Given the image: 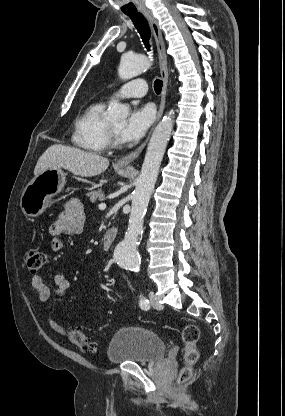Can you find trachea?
<instances>
[{
  "instance_id": "trachea-1",
  "label": "trachea",
  "mask_w": 285,
  "mask_h": 416,
  "mask_svg": "<svg viewBox=\"0 0 285 416\" xmlns=\"http://www.w3.org/2000/svg\"><path fill=\"white\" fill-rule=\"evenodd\" d=\"M128 15V17L131 18L133 24L135 25V27L137 28L142 41L144 43V45L146 46V49H148V51H150V36H151V30L150 27L148 25V22L146 20V18L143 17L142 13H128L126 14ZM163 87V82L159 79L155 80L154 82V90L155 92L159 95L161 93Z\"/></svg>"
}]
</instances>
